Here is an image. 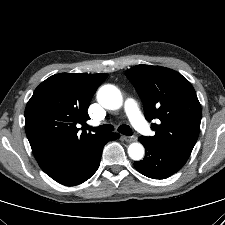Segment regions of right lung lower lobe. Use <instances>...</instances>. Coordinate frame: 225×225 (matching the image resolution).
Segmentation results:
<instances>
[{"instance_id": "1", "label": "right lung lower lobe", "mask_w": 225, "mask_h": 225, "mask_svg": "<svg viewBox=\"0 0 225 225\" xmlns=\"http://www.w3.org/2000/svg\"><path fill=\"white\" fill-rule=\"evenodd\" d=\"M119 136L118 133L102 134L85 145L63 150L41 169L65 186L81 184L97 171L104 145Z\"/></svg>"}]
</instances>
